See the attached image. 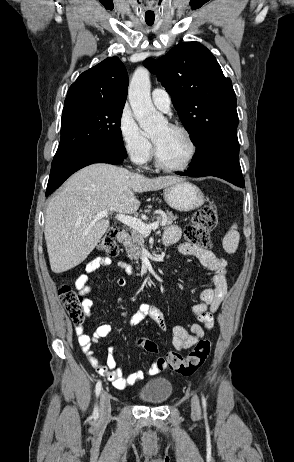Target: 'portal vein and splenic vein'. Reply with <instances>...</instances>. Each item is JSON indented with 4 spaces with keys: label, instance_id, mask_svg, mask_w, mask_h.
Instances as JSON below:
<instances>
[{
    "label": "portal vein and splenic vein",
    "instance_id": "1",
    "mask_svg": "<svg viewBox=\"0 0 294 462\" xmlns=\"http://www.w3.org/2000/svg\"><path fill=\"white\" fill-rule=\"evenodd\" d=\"M107 215H108L107 211H101V212L97 213L94 216V218L97 220V219L104 218ZM116 218H117L118 221H120L123 224L129 226L132 229L137 230L138 232H140L144 236H148L151 233V230H155V229H157L159 227V222L158 221L153 222L152 224H145L144 222H142V220H140L138 218L128 216V215H124V214H118L116 216Z\"/></svg>",
    "mask_w": 294,
    "mask_h": 462
}]
</instances>
